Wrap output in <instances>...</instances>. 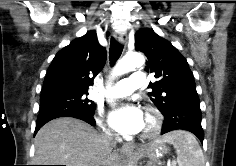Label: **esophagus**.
<instances>
[{
	"label": "esophagus",
	"instance_id": "obj_1",
	"mask_svg": "<svg viewBox=\"0 0 236 166\" xmlns=\"http://www.w3.org/2000/svg\"><path fill=\"white\" fill-rule=\"evenodd\" d=\"M115 36L118 39V41L121 44H123L124 49L126 50V47H127V36L124 33L116 34ZM134 148H135L134 144H132V143H125L122 146V151H124V152L133 151Z\"/></svg>",
	"mask_w": 236,
	"mask_h": 166
}]
</instances>
